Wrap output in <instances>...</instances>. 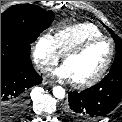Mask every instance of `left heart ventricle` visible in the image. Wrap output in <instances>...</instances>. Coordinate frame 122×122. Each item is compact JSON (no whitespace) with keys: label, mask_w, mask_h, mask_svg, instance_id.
Segmentation results:
<instances>
[{"label":"left heart ventricle","mask_w":122,"mask_h":122,"mask_svg":"<svg viewBox=\"0 0 122 122\" xmlns=\"http://www.w3.org/2000/svg\"><path fill=\"white\" fill-rule=\"evenodd\" d=\"M110 53L107 41H100L81 54L68 58L64 65L69 71L71 81L81 82L92 78L105 64Z\"/></svg>","instance_id":"b2bd125f"}]
</instances>
